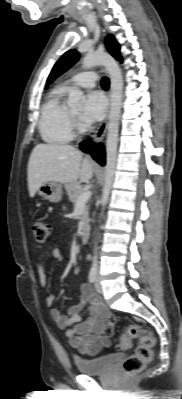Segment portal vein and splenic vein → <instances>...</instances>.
<instances>
[{"label": "portal vein and splenic vein", "instance_id": "18ae733b", "mask_svg": "<svg viewBox=\"0 0 182 399\" xmlns=\"http://www.w3.org/2000/svg\"><path fill=\"white\" fill-rule=\"evenodd\" d=\"M90 197H91V191H90V190H84V191L80 194V196H79V198H78V201H77V204L87 202V201L89 200Z\"/></svg>", "mask_w": 182, "mask_h": 399}]
</instances>
